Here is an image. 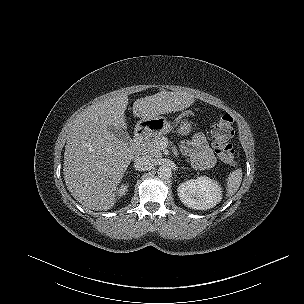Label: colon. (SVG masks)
<instances>
[{"label": "colon", "mask_w": 304, "mask_h": 304, "mask_svg": "<svg viewBox=\"0 0 304 304\" xmlns=\"http://www.w3.org/2000/svg\"><path fill=\"white\" fill-rule=\"evenodd\" d=\"M231 123L230 117L223 116L211 132L215 152L225 163H232L234 158V150L232 145L228 143V139L231 136Z\"/></svg>", "instance_id": "5ec220e1"}]
</instances>
